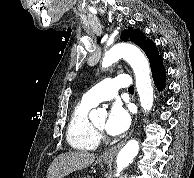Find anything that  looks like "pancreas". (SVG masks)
I'll list each match as a JSON object with an SVG mask.
<instances>
[{
	"mask_svg": "<svg viewBox=\"0 0 194 178\" xmlns=\"http://www.w3.org/2000/svg\"><path fill=\"white\" fill-rule=\"evenodd\" d=\"M82 178H90V177H88V176H87V177H85V176H84V177H82Z\"/></svg>",
	"mask_w": 194,
	"mask_h": 178,
	"instance_id": "pancreas-1",
	"label": "pancreas"
}]
</instances>
